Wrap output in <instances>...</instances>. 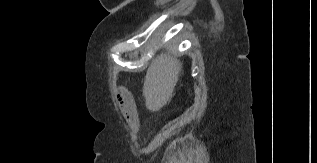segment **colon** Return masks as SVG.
<instances>
[{"instance_id": "5ec220e1", "label": "colon", "mask_w": 317, "mask_h": 163, "mask_svg": "<svg viewBox=\"0 0 317 163\" xmlns=\"http://www.w3.org/2000/svg\"><path fill=\"white\" fill-rule=\"evenodd\" d=\"M128 93L129 92L126 89H122L117 95L118 101H119V98H121V100L125 99ZM119 103H120V101H119Z\"/></svg>"}]
</instances>
